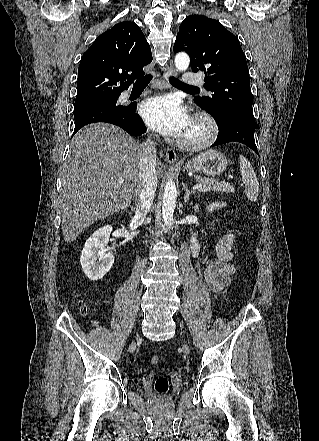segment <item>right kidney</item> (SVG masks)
Segmentation results:
<instances>
[{
  "label": "right kidney",
  "instance_id": "right-kidney-1",
  "mask_svg": "<svg viewBox=\"0 0 319 441\" xmlns=\"http://www.w3.org/2000/svg\"><path fill=\"white\" fill-rule=\"evenodd\" d=\"M111 232L110 225L99 228L88 238L81 252V266L85 275L92 281L103 278L113 266L114 256L105 250Z\"/></svg>",
  "mask_w": 319,
  "mask_h": 441
}]
</instances>
